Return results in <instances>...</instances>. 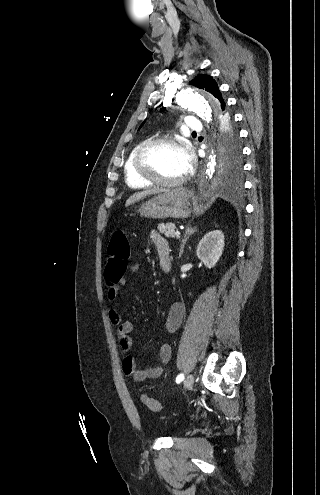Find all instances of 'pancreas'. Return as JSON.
<instances>
[{
	"label": "pancreas",
	"instance_id": "1",
	"mask_svg": "<svg viewBox=\"0 0 320 495\" xmlns=\"http://www.w3.org/2000/svg\"><path fill=\"white\" fill-rule=\"evenodd\" d=\"M160 233L164 234L166 237H175L176 227L173 223H160L157 226Z\"/></svg>",
	"mask_w": 320,
	"mask_h": 495
}]
</instances>
